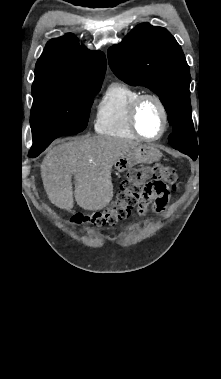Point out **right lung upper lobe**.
I'll return each mask as SVG.
<instances>
[{"label":"right lung upper lobe","mask_w":221,"mask_h":379,"mask_svg":"<svg viewBox=\"0 0 221 379\" xmlns=\"http://www.w3.org/2000/svg\"><path fill=\"white\" fill-rule=\"evenodd\" d=\"M106 66L101 51L81 46L73 34L51 39L36 63L32 95L101 86Z\"/></svg>","instance_id":"1"}]
</instances>
